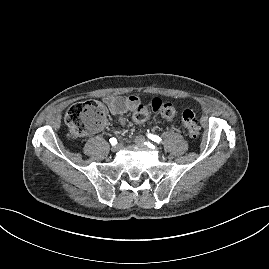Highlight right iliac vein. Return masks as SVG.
<instances>
[{"instance_id":"63e3f726","label":"right iliac vein","mask_w":269,"mask_h":269,"mask_svg":"<svg viewBox=\"0 0 269 269\" xmlns=\"http://www.w3.org/2000/svg\"><path fill=\"white\" fill-rule=\"evenodd\" d=\"M123 147V144L121 143V142H118L116 145H113L112 147H111V150L113 151V152H116V151H118V149H121Z\"/></svg>"}]
</instances>
